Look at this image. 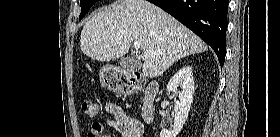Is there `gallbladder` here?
I'll return each mask as SVG.
<instances>
[{
    "label": "gallbladder",
    "mask_w": 280,
    "mask_h": 137,
    "mask_svg": "<svg viewBox=\"0 0 280 137\" xmlns=\"http://www.w3.org/2000/svg\"><path fill=\"white\" fill-rule=\"evenodd\" d=\"M119 64L127 72L139 70L141 67L139 62L130 57L121 58Z\"/></svg>",
    "instance_id": "gallbladder-1"
}]
</instances>
